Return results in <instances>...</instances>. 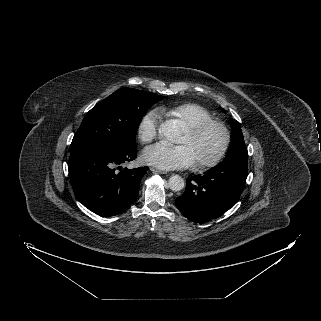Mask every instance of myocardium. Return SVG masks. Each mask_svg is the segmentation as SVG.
<instances>
[{"instance_id":"myocardium-1","label":"myocardium","mask_w":321,"mask_h":321,"mask_svg":"<svg viewBox=\"0 0 321 321\" xmlns=\"http://www.w3.org/2000/svg\"><path fill=\"white\" fill-rule=\"evenodd\" d=\"M217 127L222 134V139L220 146L217 150V152L208 159L198 160L194 161L193 167L196 169H204V168H210L215 165H217L226 155L230 142H231V134L228 126L221 120L210 118L204 121H201L195 125L188 126L186 128V131L190 134L192 137H198L200 136L206 129L209 127Z\"/></svg>"}]
</instances>
